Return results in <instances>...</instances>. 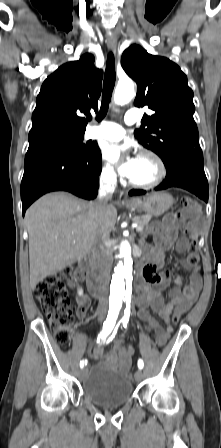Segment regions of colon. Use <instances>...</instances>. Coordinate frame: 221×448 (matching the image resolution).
Here are the masks:
<instances>
[{
	"mask_svg": "<svg viewBox=\"0 0 221 448\" xmlns=\"http://www.w3.org/2000/svg\"><path fill=\"white\" fill-rule=\"evenodd\" d=\"M182 206V210L176 216V221L185 225L191 223L197 225V222L191 220V217L200 215L199 204L189 197H184ZM188 262L194 266L199 263L195 242H192L188 247ZM74 274L75 269L73 267L66 268L57 274L45 277L34 289L35 297L46 314L54 337L61 344L68 342L74 320L75 308L67 296L66 286L67 279ZM179 319L180 317L177 315L172 317L174 323H177Z\"/></svg>",
	"mask_w": 221,
	"mask_h": 448,
	"instance_id": "colon-1",
	"label": "colon"
}]
</instances>
